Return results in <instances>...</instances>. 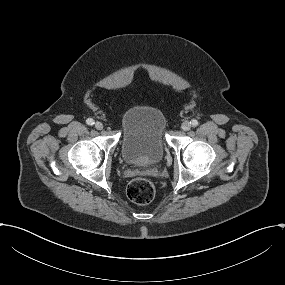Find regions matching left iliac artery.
<instances>
[{
	"label": "left iliac artery",
	"instance_id": "obj_1",
	"mask_svg": "<svg viewBox=\"0 0 285 285\" xmlns=\"http://www.w3.org/2000/svg\"><path fill=\"white\" fill-rule=\"evenodd\" d=\"M190 124L194 127H196L199 123L196 119L191 120Z\"/></svg>",
	"mask_w": 285,
	"mask_h": 285
}]
</instances>
